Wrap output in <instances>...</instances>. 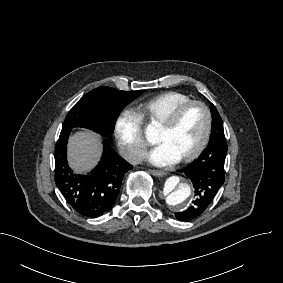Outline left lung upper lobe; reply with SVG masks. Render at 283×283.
I'll return each instance as SVG.
<instances>
[{"instance_id": "obj_1", "label": "left lung upper lobe", "mask_w": 283, "mask_h": 283, "mask_svg": "<svg viewBox=\"0 0 283 283\" xmlns=\"http://www.w3.org/2000/svg\"><path fill=\"white\" fill-rule=\"evenodd\" d=\"M210 109H211V113H212V117H213L212 124H213V122L219 123V126L221 127L222 119H221L216 107L213 104H211ZM217 129H218V126L212 128L210 139L225 138L224 132L223 131L217 132L216 131Z\"/></svg>"}]
</instances>
